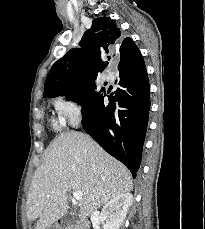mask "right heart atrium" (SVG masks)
<instances>
[{
  "mask_svg": "<svg viewBox=\"0 0 205 229\" xmlns=\"http://www.w3.org/2000/svg\"><path fill=\"white\" fill-rule=\"evenodd\" d=\"M55 109L62 125L77 127L84 116L83 102L75 95H66L55 100Z\"/></svg>",
  "mask_w": 205,
  "mask_h": 229,
  "instance_id": "obj_1",
  "label": "right heart atrium"
}]
</instances>
